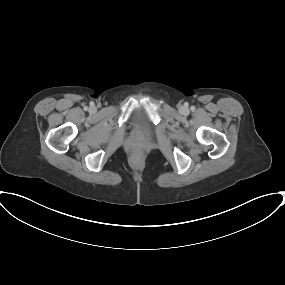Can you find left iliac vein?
<instances>
[{"instance_id":"left-iliac-vein-1","label":"left iliac vein","mask_w":285,"mask_h":285,"mask_svg":"<svg viewBox=\"0 0 285 285\" xmlns=\"http://www.w3.org/2000/svg\"><path fill=\"white\" fill-rule=\"evenodd\" d=\"M181 110H182L183 112H186V111H187V109H186L185 107H182Z\"/></svg>"}]
</instances>
